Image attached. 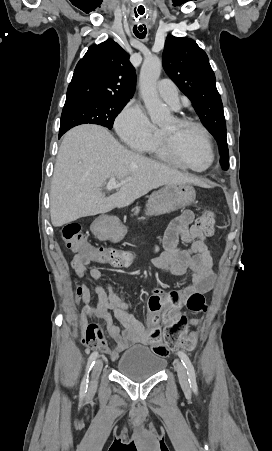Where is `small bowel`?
Wrapping results in <instances>:
<instances>
[{"label":"small bowel","instance_id":"1","mask_svg":"<svg viewBox=\"0 0 272 451\" xmlns=\"http://www.w3.org/2000/svg\"><path fill=\"white\" fill-rule=\"evenodd\" d=\"M193 220V213L184 211L168 224L163 239L165 251L151 261V265L155 268L168 270L176 275L189 274L191 278L189 285L177 291L164 293L156 287L148 290V316H161L165 323L178 318L180 309L187 305L190 295L207 293L215 284L216 277L210 248L206 238L199 236L200 229ZM179 241L188 244L189 248H180ZM88 256L94 264L107 263L104 257ZM76 275L80 279L89 276L95 282L93 288L95 302L92 301V295L84 283H79L76 287L78 299L83 305L79 314V328L84 331L89 319L101 322L116 343L115 349L103 347V352L112 361H115L118 354L129 346L145 344L147 329L131 313L130 304L114 290L113 285L101 270L94 267L93 270H86L85 274ZM101 280L106 281L105 287L100 284ZM109 311L114 313L123 328L113 323Z\"/></svg>","mask_w":272,"mask_h":451}]
</instances>
